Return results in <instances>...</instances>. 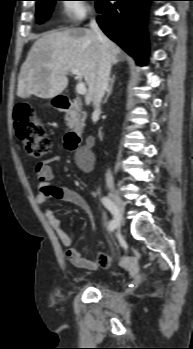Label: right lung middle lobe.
I'll use <instances>...</instances> for the list:
<instances>
[{
    "mask_svg": "<svg viewBox=\"0 0 193 349\" xmlns=\"http://www.w3.org/2000/svg\"><path fill=\"white\" fill-rule=\"evenodd\" d=\"M37 1V9H36V16H37V23H43L46 21L53 10L54 4L58 0H36ZM97 1V0H93Z\"/></svg>",
    "mask_w": 193,
    "mask_h": 349,
    "instance_id": "obj_1",
    "label": "right lung middle lobe"
}]
</instances>
